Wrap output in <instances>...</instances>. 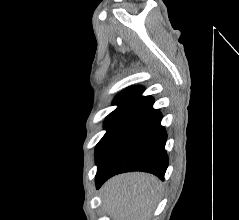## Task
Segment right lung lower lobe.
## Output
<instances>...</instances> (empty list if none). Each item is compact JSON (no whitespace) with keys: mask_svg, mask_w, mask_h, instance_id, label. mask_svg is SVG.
I'll use <instances>...</instances> for the list:
<instances>
[{"mask_svg":"<svg viewBox=\"0 0 239 220\" xmlns=\"http://www.w3.org/2000/svg\"><path fill=\"white\" fill-rule=\"evenodd\" d=\"M154 100L144 97L135 104L107 146L98 163L96 185L129 171H145L164 178L168 166L165 151L167 134Z\"/></svg>","mask_w":239,"mask_h":220,"instance_id":"right-lung-lower-lobe-1","label":"right lung lower lobe"}]
</instances>
